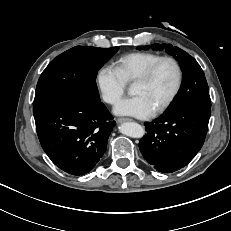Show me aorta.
Instances as JSON below:
<instances>
[{
  "instance_id": "obj_1",
  "label": "aorta",
  "mask_w": 231,
  "mask_h": 231,
  "mask_svg": "<svg viewBox=\"0 0 231 231\" xmlns=\"http://www.w3.org/2000/svg\"><path fill=\"white\" fill-rule=\"evenodd\" d=\"M119 131L132 138H142L145 134V129L138 123L126 122L120 125Z\"/></svg>"
}]
</instances>
